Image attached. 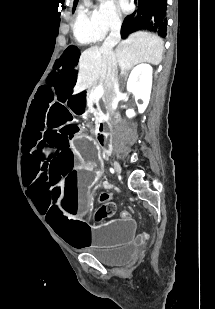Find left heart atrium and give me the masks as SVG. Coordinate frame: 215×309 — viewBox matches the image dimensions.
I'll use <instances>...</instances> for the list:
<instances>
[{
  "label": "left heart atrium",
  "mask_w": 215,
  "mask_h": 309,
  "mask_svg": "<svg viewBox=\"0 0 215 309\" xmlns=\"http://www.w3.org/2000/svg\"><path fill=\"white\" fill-rule=\"evenodd\" d=\"M118 2H120V5H123V2H121V0H118Z\"/></svg>",
  "instance_id": "1"
}]
</instances>
